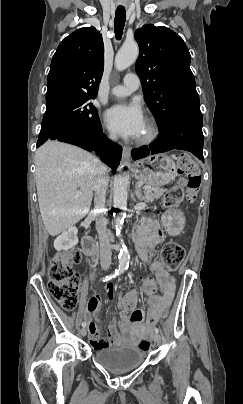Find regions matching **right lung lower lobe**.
<instances>
[{"mask_svg": "<svg viewBox=\"0 0 243 404\" xmlns=\"http://www.w3.org/2000/svg\"><path fill=\"white\" fill-rule=\"evenodd\" d=\"M48 140H58L94 151L112 169H116L122 156V147L107 139L102 128L66 125L58 129Z\"/></svg>", "mask_w": 243, "mask_h": 404, "instance_id": "right-lung-lower-lobe-1", "label": "right lung lower lobe"}]
</instances>
